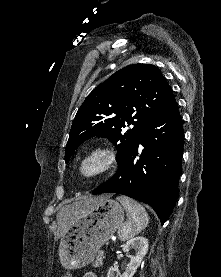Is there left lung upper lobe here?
Listing matches in <instances>:
<instances>
[{
  "label": "left lung upper lobe",
  "instance_id": "obj_1",
  "mask_svg": "<svg viewBox=\"0 0 221 277\" xmlns=\"http://www.w3.org/2000/svg\"><path fill=\"white\" fill-rule=\"evenodd\" d=\"M174 101L161 71L149 64H132L98 85L79 108L65 149V161L90 137L117 144L118 166L146 126ZM133 125L126 129V125Z\"/></svg>",
  "mask_w": 221,
  "mask_h": 277
}]
</instances>
